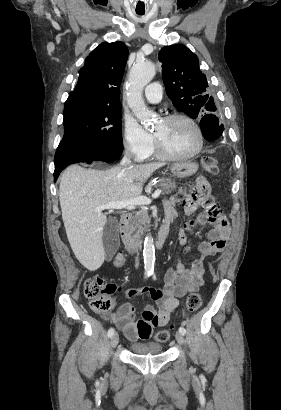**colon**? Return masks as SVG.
Returning a JSON list of instances; mask_svg holds the SVG:
<instances>
[{
	"label": "colon",
	"mask_w": 281,
	"mask_h": 410,
	"mask_svg": "<svg viewBox=\"0 0 281 410\" xmlns=\"http://www.w3.org/2000/svg\"><path fill=\"white\" fill-rule=\"evenodd\" d=\"M203 169L211 175L218 173L219 167L215 158L204 157L201 161ZM188 188L184 189V193H189ZM200 205L205 212L212 216L217 217L221 215L220 207L215 201L214 197L207 194L201 198ZM124 256L117 254L114 259V264L120 267L124 264ZM117 287L113 284H109L104 275L97 274L86 279L84 283V294L90 301V307L97 313H104L108 311L112 306L111 296L116 292ZM202 297L200 293H191L186 300V310L189 313H193L200 307ZM170 338L169 330L158 331L155 335V339L159 343H165Z\"/></svg>",
	"instance_id": "5ec220e1"
}]
</instances>
